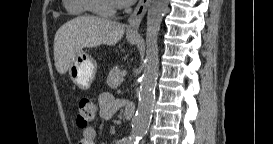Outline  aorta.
<instances>
[{
  "mask_svg": "<svg viewBox=\"0 0 273 144\" xmlns=\"http://www.w3.org/2000/svg\"><path fill=\"white\" fill-rule=\"evenodd\" d=\"M168 3L169 0H150L146 22L144 72L140 81L138 108L132 120L131 135L126 139L127 144H138L150 125L159 69L158 33Z\"/></svg>",
  "mask_w": 273,
  "mask_h": 144,
  "instance_id": "1",
  "label": "aorta"
}]
</instances>
